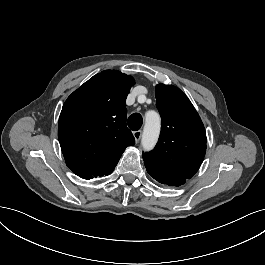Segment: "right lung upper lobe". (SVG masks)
<instances>
[{"instance_id": "1", "label": "right lung upper lobe", "mask_w": 265, "mask_h": 265, "mask_svg": "<svg viewBox=\"0 0 265 265\" xmlns=\"http://www.w3.org/2000/svg\"><path fill=\"white\" fill-rule=\"evenodd\" d=\"M134 83L129 75L105 70L67 98L59 117L58 139L73 172L108 175L125 148L135 144L126 127V98Z\"/></svg>"}]
</instances>
